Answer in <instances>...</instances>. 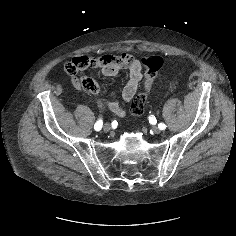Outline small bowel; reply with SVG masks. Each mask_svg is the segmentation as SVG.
Segmentation results:
<instances>
[{"label": "small bowel", "mask_w": 236, "mask_h": 236, "mask_svg": "<svg viewBox=\"0 0 236 236\" xmlns=\"http://www.w3.org/2000/svg\"><path fill=\"white\" fill-rule=\"evenodd\" d=\"M70 62L77 63V65L86 64L87 67L83 70L99 68L102 74L107 77L115 76L122 70H128L129 80L122 91V97L126 101H130L135 96L142 80L141 63L129 53L124 52L120 55L104 54L100 57L78 55ZM68 75L77 89H86L95 94L99 92V86L94 80L81 77L78 73ZM109 109L117 115L122 114L116 103H110Z\"/></svg>", "instance_id": "1"}]
</instances>
